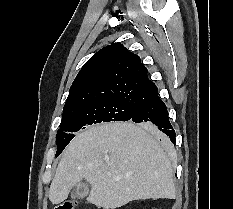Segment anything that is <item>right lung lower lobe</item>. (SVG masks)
I'll return each instance as SVG.
<instances>
[{"instance_id": "98d812e1", "label": "right lung lower lobe", "mask_w": 233, "mask_h": 209, "mask_svg": "<svg viewBox=\"0 0 233 209\" xmlns=\"http://www.w3.org/2000/svg\"><path fill=\"white\" fill-rule=\"evenodd\" d=\"M130 121L155 127L158 131L165 133L175 144L176 134L169 122L166 105L159 96L140 106Z\"/></svg>"}]
</instances>
